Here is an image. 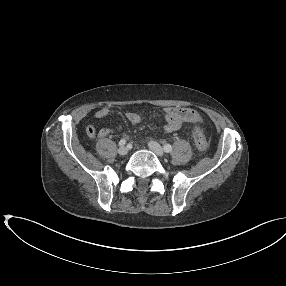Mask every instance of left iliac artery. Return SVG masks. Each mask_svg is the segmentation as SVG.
Instances as JSON below:
<instances>
[{"label":"left iliac artery","instance_id":"obj_1","mask_svg":"<svg viewBox=\"0 0 286 286\" xmlns=\"http://www.w3.org/2000/svg\"><path fill=\"white\" fill-rule=\"evenodd\" d=\"M163 149L165 152L169 153L172 151V146L170 144H166L164 145Z\"/></svg>","mask_w":286,"mask_h":286}]
</instances>
